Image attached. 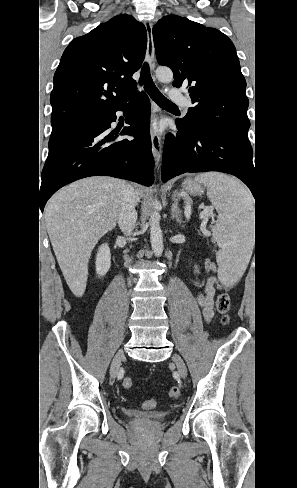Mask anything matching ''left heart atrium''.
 <instances>
[{
  "mask_svg": "<svg viewBox=\"0 0 297 488\" xmlns=\"http://www.w3.org/2000/svg\"><path fill=\"white\" fill-rule=\"evenodd\" d=\"M155 129H156V131H157V132L161 130V128H160V127H158V126H156V128H155Z\"/></svg>",
  "mask_w": 297,
  "mask_h": 488,
  "instance_id": "left-heart-atrium-1",
  "label": "left heart atrium"
}]
</instances>
